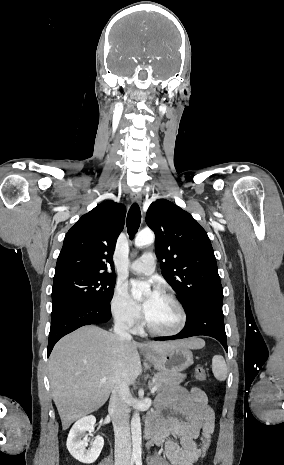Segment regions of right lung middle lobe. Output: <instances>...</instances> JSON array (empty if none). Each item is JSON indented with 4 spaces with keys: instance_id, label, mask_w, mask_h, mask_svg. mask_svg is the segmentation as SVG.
Listing matches in <instances>:
<instances>
[{
    "instance_id": "dd1d6c3e",
    "label": "right lung middle lobe",
    "mask_w": 284,
    "mask_h": 465,
    "mask_svg": "<svg viewBox=\"0 0 284 465\" xmlns=\"http://www.w3.org/2000/svg\"><path fill=\"white\" fill-rule=\"evenodd\" d=\"M115 283V276L103 274H72L54 279L52 313L76 302L110 304Z\"/></svg>"
}]
</instances>
